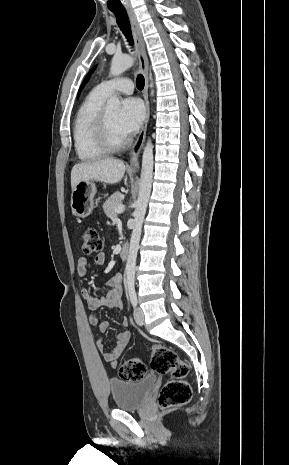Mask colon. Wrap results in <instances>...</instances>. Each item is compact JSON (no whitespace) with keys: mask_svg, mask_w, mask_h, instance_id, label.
Listing matches in <instances>:
<instances>
[{"mask_svg":"<svg viewBox=\"0 0 289 465\" xmlns=\"http://www.w3.org/2000/svg\"><path fill=\"white\" fill-rule=\"evenodd\" d=\"M103 249V242L97 230L93 227H86L81 234V250L85 254L100 252ZM151 368L159 374L170 373L172 379L162 387L158 403L161 408H171L181 406L189 402L192 390L187 382L189 366L182 361L172 348L153 345L151 347ZM147 374L146 363L133 357L126 360L119 368V376L123 380L137 381Z\"/></svg>","mask_w":289,"mask_h":465,"instance_id":"1","label":"colon"}]
</instances>
